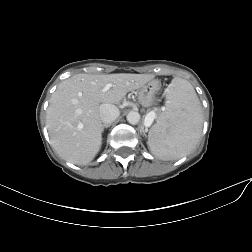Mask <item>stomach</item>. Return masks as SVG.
I'll return each instance as SVG.
<instances>
[{
    "mask_svg": "<svg viewBox=\"0 0 252 252\" xmlns=\"http://www.w3.org/2000/svg\"><path fill=\"white\" fill-rule=\"evenodd\" d=\"M161 89L158 80H151L138 90V100L143 106H150L156 100V95Z\"/></svg>",
    "mask_w": 252,
    "mask_h": 252,
    "instance_id": "obj_1",
    "label": "stomach"
}]
</instances>
